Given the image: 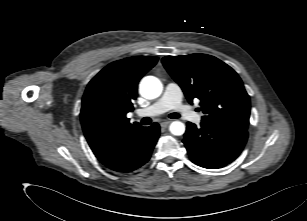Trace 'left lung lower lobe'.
Instances as JSON below:
<instances>
[{
  "instance_id": "1",
  "label": "left lung lower lobe",
  "mask_w": 307,
  "mask_h": 221,
  "mask_svg": "<svg viewBox=\"0 0 307 221\" xmlns=\"http://www.w3.org/2000/svg\"><path fill=\"white\" fill-rule=\"evenodd\" d=\"M247 130L201 122V127L188 122L183 143L195 164L216 169L231 163L242 152Z\"/></svg>"
}]
</instances>
